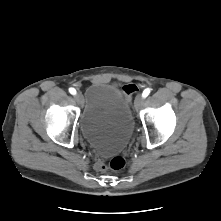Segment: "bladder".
Masks as SVG:
<instances>
[{
  "label": "bladder",
  "mask_w": 221,
  "mask_h": 221,
  "mask_svg": "<svg viewBox=\"0 0 221 221\" xmlns=\"http://www.w3.org/2000/svg\"><path fill=\"white\" fill-rule=\"evenodd\" d=\"M82 104L79 129L84 139L103 155L122 152L135 126L130 105L122 92L112 84L94 82L86 89Z\"/></svg>",
  "instance_id": "obj_1"
}]
</instances>
